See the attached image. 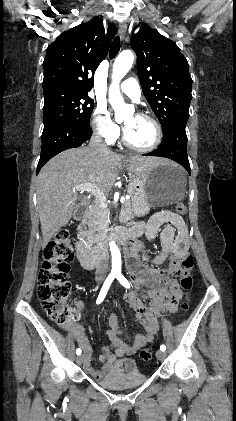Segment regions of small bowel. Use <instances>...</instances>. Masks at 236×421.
Masks as SVG:
<instances>
[{
    "label": "small bowel",
    "instance_id": "small-bowel-1",
    "mask_svg": "<svg viewBox=\"0 0 236 421\" xmlns=\"http://www.w3.org/2000/svg\"><path fill=\"white\" fill-rule=\"evenodd\" d=\"M164 224H166V226L163 229L162 238L165 244L167 245L169 241L173 239L175 233H177V243H176L177 255L178 257L183 256L188 250V241H187L188 230L181 216L170 211H162L153 215L148 221L139 222L131 228L137 231L139 235H141L142 233H145V235L147 236L149 240H153L156 237L157 233L159 232L160 227ZM127 300L130 302L133 308L140 307L139 300L135 297L134 294L128 295ZM82 308H83V303L81 301L76 302V309L80 311L82 310ZM109 325L111 329H116L118 331V322H117V318L115 314L110 315ZM152 325H153L154 333H155V330L157 327L156 323L153 321ZM68 330L70 332L82 333L85 341H82L79 343L85 349L83 362L86 360L87 357L88 359H90V347L85 337L83 327L81 325L71 324ZM154 333H152L144 342L151 341Z\"/></svg>",
    "mask_w": 236,
    "mask_h": 421
}]
</instances>
